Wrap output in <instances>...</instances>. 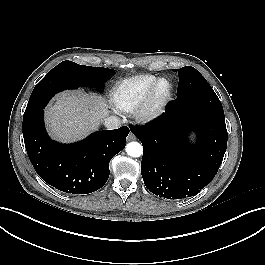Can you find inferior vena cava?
I'll list each match as a JSON object with an SVG mask.
<instances>
[{"mask_svg":"<svg viewBox=\"0 0 265 265\" xmlns=\"http://www.w3.org/2000/svg\"><path fill=\"white\" fill-rule=\"evenodd\" d=\"M104 126L108 129H117L121 127V121L116 116H110V117L105 118Z\"/></svg>","mask_w":265,"mask_h":265,"instance_id":"obj_1","label":"inferior vena cava"}]
</instances>
